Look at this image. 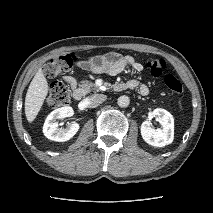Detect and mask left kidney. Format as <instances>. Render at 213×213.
<instances>
[{
  "mask_svg": "<svg viewBox=\"0 0 213 213\" xmlns=\"http://www.w3.org/2000/svg\"><path fill=\"white\" fill-rule=\"evenodd\" d=\"M153 116H157L162 129L151 128L148 121H144L141 125V135L146 143L154 147H164L172 143L174 138V118L165 109L157 108L152 112Z\"/></svg>",
  "mask_w": 213,
  "mask_h": 213,
  "instance_id": "5707ae66",
  "label": "left kidney"
}]
</instances>
